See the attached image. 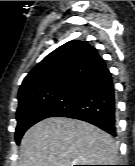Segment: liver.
Segmentation results:
<instances>
[{"instance_id":"liver-1","label":"liver","mask_w":135,"mask_h":166,"mask_svg":"<svg viewBox=\"0 0 135 166\" xmlns=\"http://www.w3.org/2000/svg\"><path fill=\"white\" fill-rule=\"evenodd\" d=\"M20 166L112 165V137L87 122L51 117L32 126L21 140Z\"/></svg>"}]
</instances>
